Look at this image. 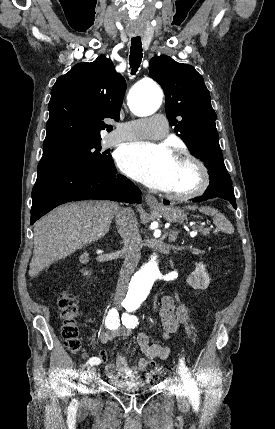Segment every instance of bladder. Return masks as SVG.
<instances>
[{
  "mask_svg": "<svg viewBox=\"0 0 275 429\" xmlns=\"http://www.w3.org/2000/svg\"><path fill=\"white\" fill-rule=\"evenodd\" d=\"M112 385L119 388V393H146L147 391L144 378H120V381H113Z\"/></svg>",
  "mask_w": 275,
  "mask_h": 429,
  "instance_id": "31cf9c89",
  "label": "bladder"
}]
</instances>
